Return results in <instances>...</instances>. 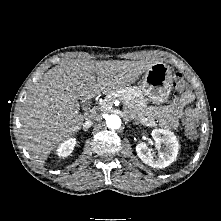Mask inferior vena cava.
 Instances as JSON below:
<instances>
[{
  "label": "inferior vena cava",
  "instance_id": "1",
  "mask_svg": "<svg viewBox=\"0 0 221 221\" xmlns=\"http://www.w3.org/2000/svg\"><path fill=\"white\" fill-rule=\"evenodd\" d=\"M100 117L98 115H91L88 120H87V124L88 125H92L94 122L99 121Z\"/></svg>",
  "mask_w": 221,
  "mask_h": 221
}]
</instances>
